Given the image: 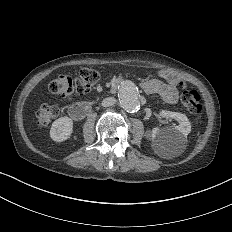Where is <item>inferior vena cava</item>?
<instances>
[{
	"instance_id": "602c4592",
	"label": "inferior vena cava",
	"mask_w": 232,
	"mask_h": 232,
	"mask_svg": "<svg viewBox=\"0 0 232 232\" xmlns=\"http://www.w3.org/2000/svg\"><path fill=\"white\" fill-rule=\"evenodd\" d=\"M115 103H116V99H115V98H113V97H108V98H105V99L102 101V106H104V107H109V106H113Z\"/></svg>"
}]
</instances>
